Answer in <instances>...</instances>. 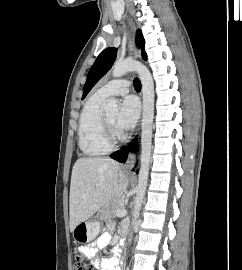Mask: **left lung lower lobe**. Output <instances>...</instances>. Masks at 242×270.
Masks as SVG:
<instances>
[{
    "instance_id": "0a47b994",
    "label": "left lung lower lobe",
    "mask_w": 242,
    "mask_h": 270,
    "mask_svg": "<svg viewBox=\"0 0 242 270\" xmlns=\"http://www.w3.org/2000/svg\"><path fill=\"white\" fill-rule=\"evenodd\" d=\"M136 150V142L134 141L129 145V147H124L110 155L111 158L124 163L127 159L128 153L130 151H135Z\"/></svg>"
}]
</instances>
